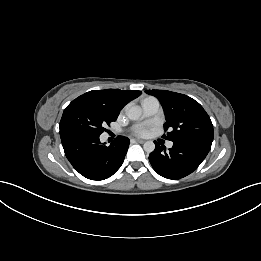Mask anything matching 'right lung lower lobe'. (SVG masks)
Returning <instances> with one entry per match:
<instances>
[{
    "instance_id": "1",
    "label": "right lung lower lobe",
    "mask_w": 261,
    "mask_h": 261,
    "mask_svg": "<svg viewBox=\"0 0 261 261\" xmlns=\"http://www.w3.org/2000/svg\"><path fill=\"white\" fill-rule=\"evenodd\" d=\"M100 135L87 131H60L65 155L84 177L104 180L122 165L129 147L126 137L118 136L109 146L101 144Z\"/></svg>"
}]
</instances>
